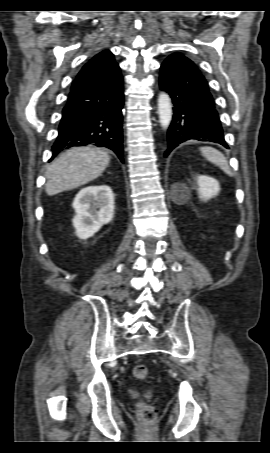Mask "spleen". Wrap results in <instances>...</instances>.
<instances>
[{
    "label": "spleen",
    "instance_id": "1",
    "mask_svg": "<svg viewBox=\"0 0 270 453\" xmlns=\"http://www.w3.org/2000/svg\"><path fill=\"white\" fill-rule=\"evenodd\" d=\"M200 152L209 162L221 168L227 175L233 176L226 157L219 150L210 146H204L200 148Z\"/></svg>",
    "mask_w": 270,
    "mask_h": 453
}]
</instances>
